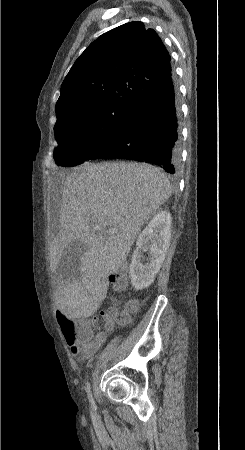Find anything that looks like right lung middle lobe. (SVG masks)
I'll return each instance as SVG.
<instances>
[{
    "instance_id": "obj_1",
    "label": "right lung middle lobe",
    "mask_w": 245,
    "mask_h": 450,
    "mask_svg": "<svg viewBox=\"0 0 245 450\" xmlns=\"http://www.w3.org/2000/svg\"><path fill=\"white\" fill-rule=\"evenodd\" d=\"M131 111L132 107L106 104L57 116L56 164L73 167L107 149L122 135Z\"/></svg>"
}]
</instances>
